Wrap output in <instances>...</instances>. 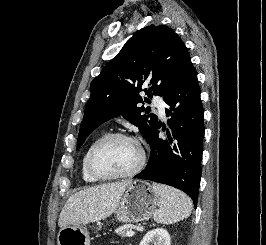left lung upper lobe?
Returning a JSON list of instances; mask_svg holds the SVG:
<instances>
[{
    "mask_svg": "<svg viewBox=\"0 0 266 245\" xmlns=\"http://www.w3.org/2000/svg\"><path fill=\"white\" fill-rule=\"evenodd\" d=\"M188 57L184 42L168 26L140 29L92 81L77 149L94 129L119 113L136 125L148 141L157 116L137 106L149 101L143 100L139 91L148 85L144 91L150 98L153 94L163 96Z\"/></svg>",
    "mask_w": 266,
    "mask_h": 245,
    "instance_id": "5c2ea615",
    "label": "left lung upper lobe"
}]
</instances>
